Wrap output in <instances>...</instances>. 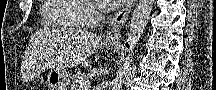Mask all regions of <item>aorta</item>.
<instances>
[{
	"label": "aorta",
	"mask_w": 216,
	"mask_h": 90,
	"mask_svg": "<svg viewBox=\"0 0 216 90\" xmlns=\"http://www.w3.org/2000/svg\"><path fill=\"white\" fill-rule=\"evenodd\" d=\"M153 2L152 0H139L138 4H136L129 28H128V54L125 58L126 62H124L120 72H117V76L115 80H113L112 90H121L124 80L126 78V72L129 68V62L131 58H133L135 54V50L137 48L138 42H140V38H142L144 34V30L148 24V20L150 18V14L152 12Z\"/></svg>",
	"instance_id": "1"
}]
</instances>
